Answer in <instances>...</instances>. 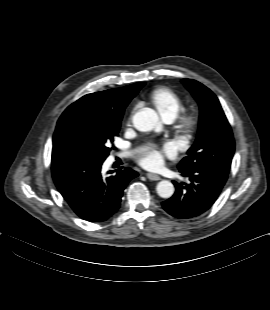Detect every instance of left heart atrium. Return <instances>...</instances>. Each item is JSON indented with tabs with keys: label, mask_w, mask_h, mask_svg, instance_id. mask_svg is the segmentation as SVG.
<instances>
[{
	"label": "left heart atrium",
	"mask_w": 270,
	"mask_h": 310,
	"mask_svg": "<svg viewBox=\"0 0 270 310\" xmlns=\"http://www.w3.org/2000/svg\"><path fill=\"white\" fill-rule=\"evenodd\" d=\"M173 155V147L170 144H166L149 149L139 158V161L146 168H155L162 163L164 157H172Z\"/></svg>",
	"instance_id": "1"
}]
</instances>
